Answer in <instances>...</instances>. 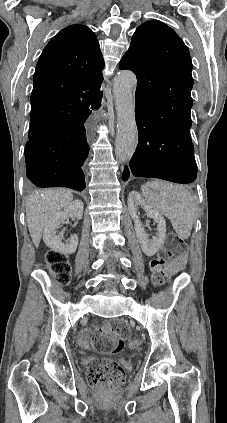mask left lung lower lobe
I'll use <instances>...</instances> for the list:
<instances>
[{"mask_svg":"<svg viewBox=\"0 0 227 423\" xmlns=\"http://www.w3.org/2000/svg\"><path fill=\"white\" fill-rule=\"evenodd\" d=\"M138 145L126 166L130 175L188 184L197 176L194 146L190 137V112H160L135 108Z\"/></svg>","mask_w":227,"mask_h":423,"instance_id":"1","label":"left lung lower lobe"}]
</instances>
